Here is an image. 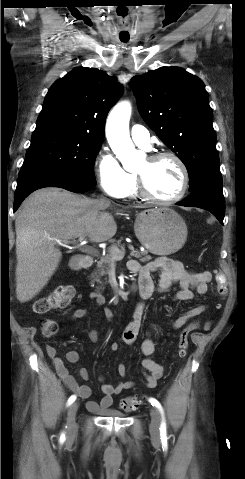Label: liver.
Instances as JSON below:
<instances>
[{"instance_id": "obj_1", "label": "liver", "mask_w": 245, "mask_h": 479, "mask_svg": "<svg viewBox=\"0 0 245 479\" xmlns=\"http://www.w3.org/2000/svg\"><path fill=\"white\" fill-rule=\"evenodd\" d=\"M106 199H89L59 188L35 191L22 204L15 220L16 295L31 300L54 274L62 253L57 241L88 237L104 242L117 231Z\"/></svg>"}]
</instances>
